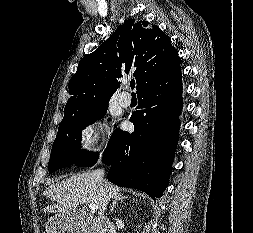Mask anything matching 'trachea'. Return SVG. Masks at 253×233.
Listing matches in <instances>:
<instances>
[{
    "label": "trachea",
    "instance_id": "3493384b",
    "mask_svg": "<svg viewBox=\"0 0 253 233\" xmlns=\"http://www.w3.org/2000/svg\"><path fill=\"white\" fill-rule=\"evenodd\" d=\"M130 86H131V89L133 90L134 87H135V81L132 80V81L130 82Z\"/></svg>",
    "mask_w": 253,
    "mask_h": 233
}]
</instances>
